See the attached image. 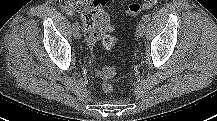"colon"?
<instances>
[{"instance_id":"1","label":"colon","mask_w":217,"mask_h":121,"mask_svg":"<svg viewBox=\"0 0 217 121\" xmlns=\"http://www.w3.org/2000/svg\"><path fill=\"white\" fill-rule=\"evenodd\" d=\"M158 0H143L142 3H133L127 13L138 15L141 12L153 7ZM61 8L70 15L80 14L83 27L87 32L95 35L103 34L106 30V1L105 0H59ZM116 38L113 36H104L103 46L106 49H112L115 46ZM116 66L108 65L100 68V75L103 77L101 88L104 92L109 93L113 90V84L109 80L116 74Z\"/></svg>"}]
</instances>
